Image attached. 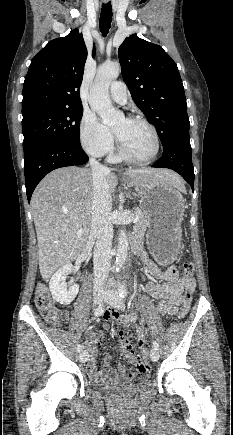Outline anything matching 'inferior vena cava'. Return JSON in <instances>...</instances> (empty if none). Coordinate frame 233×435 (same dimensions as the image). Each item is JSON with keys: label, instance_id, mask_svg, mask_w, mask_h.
Here are the masks:
<instances>
[{"label": "inferior vena cava", "instance_id": "602c4592", "mask_svg": "<svg viewBox=\"0 0 233 435\" xmlns=\"http://www.w3.org/2000/svg\"><path fill=\"white\" fill-rule=\"evenodd\" d=\"M93 178V202L91 217V235L97 236L95 243L94 288H100L109 272L111 247L113 240V226L110 220L112 198L105 175L109 168L100 164L94 158L89 160Z\"/></svg>", "mask_w": 233, "mask_h": 435}]
</instances>
